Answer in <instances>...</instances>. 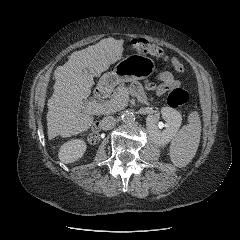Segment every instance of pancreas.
<instances>
[{"instance_id":"pancreas-1","label":"pancreas","mask_w":240,"mask_h":240,"mask_svg":"<svg viewBox=\"0 0 240 240\" xmlns=\"http://www.w3.org/2000/svg\"><path fill=\"white\" fill-rule=\"evenodd\" d=\"M111 100L118 101L116 110L124 108L128 104V91L124 84H120L116 89H114Z\"/></svg>"}]
</instances>
